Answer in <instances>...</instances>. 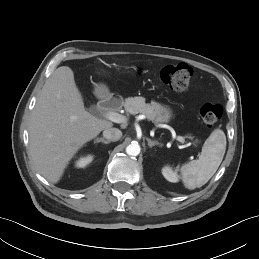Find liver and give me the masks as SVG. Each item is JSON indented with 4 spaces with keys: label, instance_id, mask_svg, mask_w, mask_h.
Returning a JSON list of instances; mask_svg holds the SVG:
<instances>
[{
    "label": "liver",
    "instance_id": "obj_1",
    "mask_svg": "<svg viewBox=\"0 0 259 259\" xmlns=\"http://www.w3.org/2000/svg\"><path fill=\"white\" fill-rule=\"evenodd\" d=\"M112 126L85 110L72 69L57 68L45 82L30 118L29 152L35 168L57 183L77 151Z\"/></svg>",
    "mask_w": 259,
    "mask_h": 259
}]
</instances>
